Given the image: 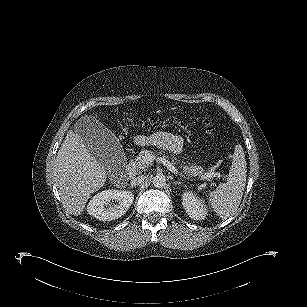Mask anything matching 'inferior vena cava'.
I'll return each instance as SVG.
<instances>
[{"mask_svg": "<svg viewBox=\"0 0 307 307\" xmlns=\"http://www.w3.org/2000/svg\"><path fill=\"white\" fill-rule=\"evenodd\" d=\"M142 182H144V177H143V176H137V177H135V178H133V179L131 180V184H132V185H139V184H141Z\"/></svg>", "mask_w": 307, "mask_h": 307, "instance_id": "1", "label": "inferior vena cava"}]
</instances>
